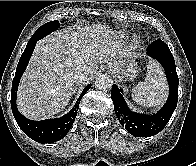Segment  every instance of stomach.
<instances>
[{
    "label": "stomach",
    "mask_w": 196,
    "mask_h": 166,
    "mask_svg": "<svg viewBox=\"0 0 196 166\" xmlns=\"http://www.w3.org/2000/svg\"><path fill=\"white\" fill-rule=\"evenodd\" d=\"M113 73L126 79H132L137 75L136 64L131 59H119L112 68Z\"/></svg>",
    "instance_id": "1"
}]
</instances>
